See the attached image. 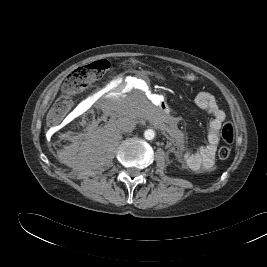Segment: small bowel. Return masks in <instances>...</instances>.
Instances as JSON below:
<instances>
[{"label": "small bowel", "instance_id": "c3829d8e", "mask_svg": "<svg viewBox=\"0 0 267 267\" xmlns=\"http://www.w3.org/2000/svg\"><path fill=\"white\" fill-rule=\"evenodd\" d=\"M194 103L198 108L212 116L207 132L208 142L194 151L181 153L180 157L189 169L202 172L211 169L215 164V154L220 140L219 135L226 114L219 106L215 96L208 91L198 92L194 97Z\"/></svg>", "mask_w": 267, "mask_h": 267}]
</instances>
